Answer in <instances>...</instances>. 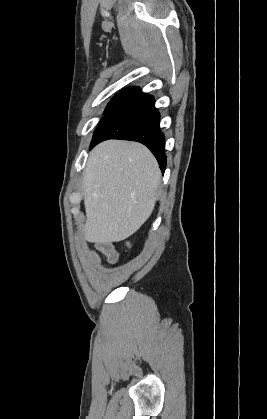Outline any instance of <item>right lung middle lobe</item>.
Masks as SVG:
<instances>
[{"mask_svg": "<svg viewBox=\"0 0 267 419\" xmlns=\"http://www.w3.org/2000/svg\"><path fill=\"white\" fill-rule=\"evenodd\" d=\"M128 94L126 93H118L115 95L111 101L108 103L105 112H109L115 105H117L120 101H122Z\"/></svg>", "mask_w": 267, "mask_h": 419, "instance_id": "obj_1", "label": "right lung middle lobe"}]
</instances>
